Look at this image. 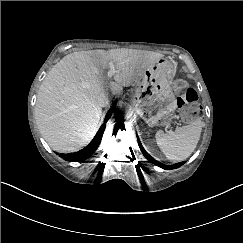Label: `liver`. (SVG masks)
Segmentation results:
<instances>
[{
    "mask_svg": "<svg viewBox=\"0 0 243 243\" xmlns=\"http://www.w3.org/2000/svg\"><path fill=\"white\" fill-rule=\"evenodd\" d=\"M162 54L135 50L111 49L73 52L57 63L42 81L35 106L37 127L49 146L72 152L93 137L102 116L96 96L108 87L117 93ZM108 62L116 73L106 75Z\"/></svg>",
    "mask_w": 243,
    "mask_h": 243,
    "instance_id": "6515ba94",
    "label": "liver"
}]
</instances>
